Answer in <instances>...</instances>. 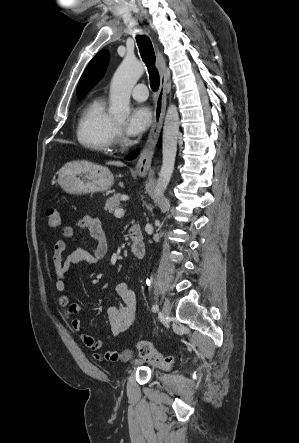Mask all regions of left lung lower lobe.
Masks as SVG:
<instances>
[{
    "mask_svg": "<svg viewBox=\"0 0 299 443\" xmlns=\"http://www.w3.org/2000/svg\"><path fill=\"white\" fill-rule=\"evenodd\" d=\"M139 153V149L133 151L132 153H130L128 156L125 157V159L127 160H132L134 159Z\"/></svg>",
    "mask_w": 299,
    "mask_h": 443,
    "instance_id": "1",
    "label": "left lung lower lobe"
}]
</instances>
